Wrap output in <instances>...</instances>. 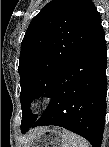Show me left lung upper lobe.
Returning a JSON list of instances; mask_svg holds the SVG:
<instances>
[{"mask_svg":"<svg viewBox=\"0 0 109 147\" xmlns=\"http://www.w3.org/2000/svg\"><path fill=\"white\" fill-rule=\"evenodd\" d=\"M100 23L91 0H52L33 18L21 43L18 67L21 130L37 120L30 111L31 101L50 97L66 62Z\"/></svg>","mask_w":109,"mask_h":147,"instance_id":"left-lung-upper-lobe-1","label":"left lung upper lobe"}]
</instances>
